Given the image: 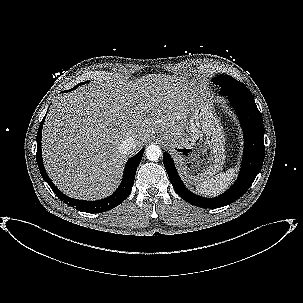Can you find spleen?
Masks as SVG:
<instances>
[{
  "label": "spleen",
  "mask_w": 303,
  "mask_h": 303,
  "mask_svg": "<svg viewBox=\"0 0 303 303\" xmlns=\"http://www.w3.org/2000/svg\"><path fill=\"white\" fill-rule=\"evenodd\" d=\"M237 168H230L226 172L217 174L200 182L196 186V190L206 196H215L224 191L236 176Z\"/></svg>",
  "instance_id": "1"
}]
</instances>
